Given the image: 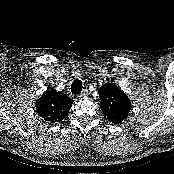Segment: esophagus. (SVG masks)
I'll return each instance as SVG.
<instances>
[{
  "label": "esophagus",
  "mask_w": 174,
  "mask_h": 174,
  "mask_svg": "<svg viewBox=\"0 0 174 174\" xmlns=\"http://www.w3.org/2000/svg\"><path fill=\"white\" fill-rule=\"evenodd\" d=\"M88 90H84L80 95H79V97L80 98H85V97H87L88 96Z\"/></svg>",
  "instance_id": "1"
}]
</instances>
